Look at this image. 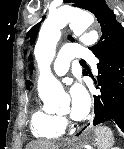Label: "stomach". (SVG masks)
I'll use <instances>...</instances> for the list:
<instances>
[{"instance_id": "1", "label": "stomach", "mask_w": 124, "mask_h": 149, "mask_svg": "<svg viewBox=\"0 0 124 149\" xmlns=\"http://www.w3.org/2000/svg\"><path fill=\"white\" fill-rule=\"evenodd\" d=\"M96 142H97V136H96L95 130H86L80 136L79 144L81 146H87V145H92Z\"/></svg>"}]
</instances>
